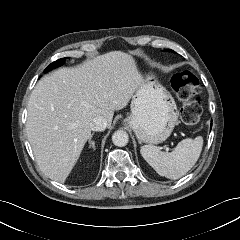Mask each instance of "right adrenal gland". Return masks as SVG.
I'll list each match as a JSON object with an SVG mask.
<instances>
[{
	"label": "right adrenal gland",
	"instance_id": "2a0ac1e0",
	"mask_svg": "<svg viewBox=\"0 0 240 240\" xmlns=\"http://www.w3.org/2000/svg\"><path fill=\"white\" fill-rule=\"evenodd\" d=\"M93 135H94V133L91 134L88 142H89V147H90V148L92 147L93 150H95V142L91 140L92 137H93Z\"/></svg>",
	"mask_w": 240,
	"mask_h": 240
}]
</instances>
